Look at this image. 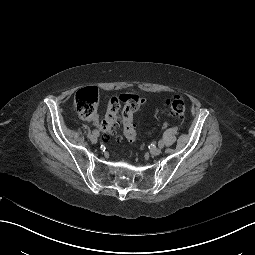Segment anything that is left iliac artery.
Masks as SVG:
<instances>
[{"mask_svg": "<svg viewBox=\"0 0 255 255\" xmlns=\"http://www.w3.org/2000/svg\"><path fill=\"white\" fill-rule=\"evenodd\" d=\"M158 146H159L160 148H163L164 143H163V141H162V140H159V142H158Z\"/></svg>", "mask_w": 255, "mask_h": 255, "instance_id": "44dca946", "label": "left iliac artery"}]
</instances>
